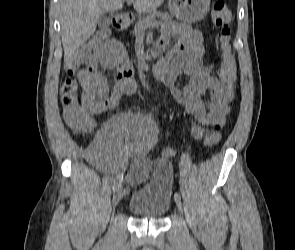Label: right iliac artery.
<instances>
[{
	"mask_svg": "<svg viewBox=\"0 0 295 250\" xmlns=\"http://www.w3.org/2000/svg\"><path fill=\"white\" fill-rule=\"evenodd\" d=\"M122 181H123V175H119L114 182L113 190H115L117 187H119L121 185Z\"/></svg>",
	"mask_w": 295,
	"mask_h": 250,
	"instance_id": "82829eb1",
	"label": "right iliac artery"
}]
</instances>
